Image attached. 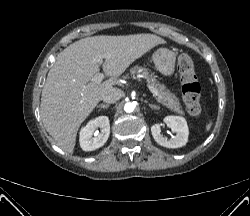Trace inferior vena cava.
Wrapping results in <instances>:
<instances>
[{
  "mask_svg": "<svg viewBox=\"0 0 250 216\" xmlns=\"http://www.w3.org/2000/svg\"><path fill=\"white\" fill-rule=\"evenodd\" d=\"M123 97V91L118 88H109L103 92L101 99L105 103H114Z\"/></svg>",
  "mask_w": 250,
  "mask_h": 216,
  "instance_id": "602c4592",
  "label": "inferior vena cava"
}]
</instances>
